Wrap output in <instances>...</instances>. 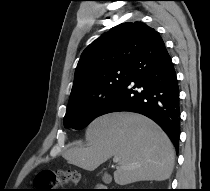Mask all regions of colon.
I'll list each match as a JSON object with an SVG mask.
<instances>
[{"label": "colon", "mask_w": 210, "mask_h": 191, "mask_svg": "<svg viewBox=\"0 0 210 191\" xmlns=\"http://www.w3.org/2000/svg\"><path fill=\"white\" fill-rule=\"evenodd\" d=\"M79 177L71 171H50L41 173L35 179V189L32 191H69L60 190L58 186L78 181Z\"/></svg>", "instance_id": "5ec220e1"}]
</instances>
